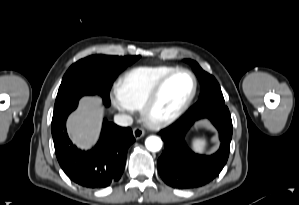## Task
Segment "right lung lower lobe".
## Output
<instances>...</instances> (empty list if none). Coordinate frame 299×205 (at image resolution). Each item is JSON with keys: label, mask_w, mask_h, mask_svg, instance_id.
<instances>
[{"label": "right lung lower lobe", "mask_w": 299, "mask_h": 205, "mask_svg": "<svg viewBox=\"0 0 299 205\" xmlns=\"http://www.w3.org/2000/svg\"><path fill=\"white\" fill-rule=\"evenodd\" d=\"M109 106V100H103ZM78 101L53 114L51 130L58 162L75 183L91 188H105L116 183L125 167L129 146L135 141L132 130L103 121L96 146L88 151L73 145L66 131V119L76 109Z\"/></svg>", "instance_id": "98d812e1"}]
</instances>
